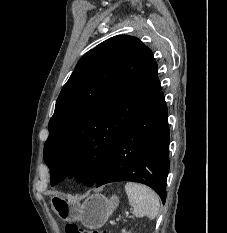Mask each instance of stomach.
Returning a JSON list of instances; mask_svg holds the SVG:
<instances>
[{"mask_svg":"<svg viewBox=\"0 0 227 233\" xmlns=\"http://www.w3.org/2000/svg\"><path fill=\"white\" fill-rule=\"evenodd\" d=\"M51 202L55 213L64 221H80L87 228L97 229L102 227L116 210L119 199L116 195L106 198L96 194L80 204L71 198L56 195Z\"/></svg>","mask_w":227,"mask_h":233,"instance_id":"1","label":"stomach"}]
</instances>
